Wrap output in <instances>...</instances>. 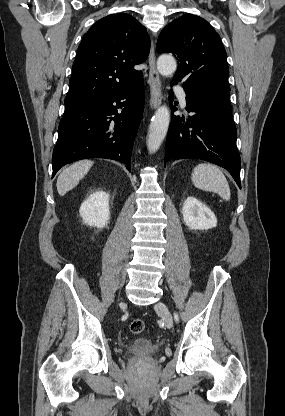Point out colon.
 <instances>
[{"label": "colon", "instance_id": "1", "mask_svg": "<svg viewBox=\"0 0 285 416\" xmlns=\"http://www.w3.org/2000/svg\"><path fill=\"white\" fill-rule=\"evenodd\" d=\"M144 329L145 324L141 319H135L130 323V331L134 334H140Z\"/></svg>", "mask_w": 285, "mask_h": 416}]
</instances>
